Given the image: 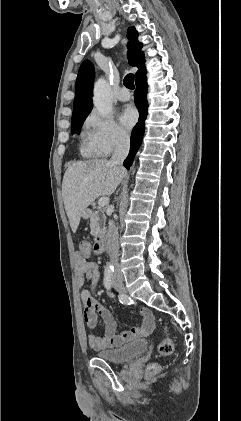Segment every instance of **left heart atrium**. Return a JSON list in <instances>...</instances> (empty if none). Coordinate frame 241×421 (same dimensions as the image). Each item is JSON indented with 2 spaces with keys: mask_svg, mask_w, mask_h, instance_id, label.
<instances>
[{
  "mask_svg": "<svg viewBox=\"0 0 241 421\" xmlns=\"http://www.w3.org/2000/svg\"><path fill=\"white\" fill-rule=\"evenodd\" d=\"M137 118H138L137 111L131 105L125 106L119 115L120 123L128 129L131 128L136 123Z\"/></svg>",
  "mask_w": 241,
  "mask_h": 421,
  "instance_id": "obj_1",
  "label": "left heart atrium"
}]
</instances>
